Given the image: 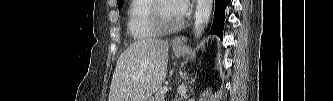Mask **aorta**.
<instances>
[{
  "label": "aorta",
  "instance_id": "762f6f07",
  "mask_svg": "<svg viewBox=\"0 0 333 101\" xmlns=\"http://www.w3.org/2000/svg\"><path fill=\"white\" fill-rule=\"evenodd\" d=\"M213 0H197L194 22V36L199 39L209 22Z\"/></svg>",
  "mask_w": 333,
  "mask_h": 101
}]
</instances>
